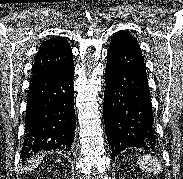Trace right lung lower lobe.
<instances>
[{
	"mask_svg": "<svg viewBox=\"0 0 183 179\" xmlns=\"http://www.w3.org/2000/svg\"><path fill=\"white\" fill-rule=\"evenodd\" d=\"M74 68L67 73L35 74L27 95L21 157L63 149L71 152L75 137Z\"/></svg>",
	"mask_w": 183,
	"mask_h": 179,
	"instance_id": "1",
	"label": "right lung lower lobe"
}]
</instances>
